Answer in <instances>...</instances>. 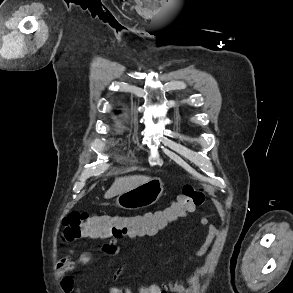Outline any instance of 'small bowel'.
Masks as SVG:
<instances>
[{"label":"small bowel","mask_w":293,"mask_h":293,"mask_svg":"<svg viewBox=\"0 0 293 293\" xmlns=\"http://www.w3.org/2000/svg\"><path fill=\"white\" fill-rule=\"evenodd\" d=\"M202 203V202H201ZM200 203V204H201ZM201 225L207 228V235L200 246V248L196 251V257L204 256L214 241L219 237L220 231L219 229L212 223V221L208 217H202L200 220ZM165 227V226H164ZM164 227L142 231L139 233H130L127 235L114 236L106 240L100 247V252L106 255L115 256L120 253V247L118 246V240L125 236L129 238H139V237H151L156 235L160 230ZM92 254L90 252H82L76 257L67 256L63 258L59 263L56 270V277L61 280V286L64 293H81V289L79 286L75 284V278L73 272L77 270L79 267L87 265L92 262ZM119 274H116L115 278L117 279ZM198 274H193L189 276L185 280L171 282L167 285H163L159 287L158 285H148L146 287H153L157 289V293H167L168 291L173 293H187L194 288V284L198 279ZM144 288V287H143ZM140 289V293L142 289ZM109 293H132V290L126 286L119 285L113 286L109 289Z\"/></svg>","instance_id":"obj_1"}]
</instances>
